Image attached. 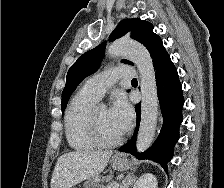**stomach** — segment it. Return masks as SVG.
Wrapping results in <instances>:
<instances>
[{"mask_svg": "<svg viewBox=\"0 0 224 188\" xmlns=\"http://www.w3.org/2000/svg\"><path fill=\"white\" fill-rule=\"evenodd\" d=\"M110 162L112 168L118 171L126 170L131 166L129 160L124 156H114Z\"/></svg>", "mask_w": 224, "mask_h": 188, "instance_id": "stomach-1", "label": "stomach"}]
</instances>
